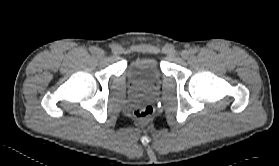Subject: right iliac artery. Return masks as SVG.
Returning <instances> with one entry per match:
<instances>
[{
  "mask_svg": "<svg viewBox=\"0 0 279 166\" xmlns=\"http://www.w3.org/2000/svg\"><path fill=\"white\" fill-rule=\"evenodd\" d=\"M96 49H97V48L93 46V47H90L89 50H90L91 53H94V52H96Z\"/></svg>",
  "mask_w": 279,
  "mask_h": 166,
  "instance_id": "obj_1",
  "label": "right iliac artery"
}]
</instances>
